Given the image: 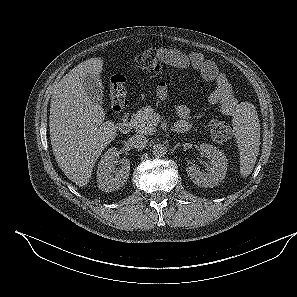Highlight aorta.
<instances>
[{"label":"aorta","mask_w":297,"mask_h":297,"mask_svg":"<svg viewBox=\"0 0 297 297\" xmlns=\"http://www.w3.org/2000/svg\"><path fill=\"white\" fill-rule=\"evenodd\" d=\"M152 153L155 157H163L167 153V148L165 145L159 143V144H154L152 147Z\"/></svg>","instance_id":"aorta-1"}]
</instances>
